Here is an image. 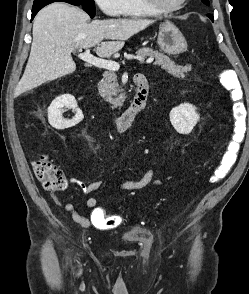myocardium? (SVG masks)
<instances>
[{
    "instance_id": "f54148a6",
    "label": "myocardium",
    "mask_w": 249,
    "mask_h": 294,
    "mask_svg": "<svg viewBox=\"0 0 249 294\" xmlns=\"http://www.w3.org/2000/svg\"><path fill=\"white\" fill-rule=\"evenodd\" d=\"M146 7H148L154 15H165L176 12L182 9L189 0H182L178 5L173 7H161L156 0H142Z\"/></svg>"
}]
</instances>
